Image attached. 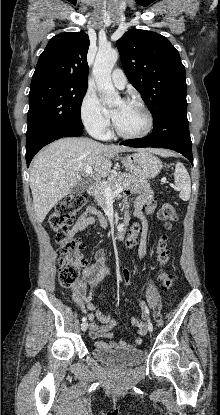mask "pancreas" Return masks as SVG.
I'll list each match as a JSON object with an SVG mask.
<instances>
[{
    "label": "pancreas",
    "instance_id": "cf45deb5",
    "mask_svg": "<svg viewBox=\"0 0 220 415\" xmlns=\"http://www.w3.org/2000/svg\"><path fill=\"white\" fill-rule=\"evenodd\" d=\"M146 181L129 173L118 172L111 174L106 182H99L95 185L93 195L100 207H104L106 204V195L104 191V185L109 186L111 189H116L117 186H121L123 189L137 190L142 183Z\"/></svg>",
    "mask_w": 220,
    "mask_h": 415
}]
</instances>
